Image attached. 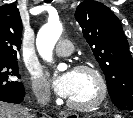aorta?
Instances as JSON below:
<instances>
[{"label":"aorta","mask_w":133,"mask_h":118,"mask_svg":"<svg viewBox=\"0 0 133 118\" xmlns=\"http://www.w3.org/2000/svg\"><path fill=\"white\" fill-rule=\"evenodd\" d=\"M62 34V26L59 22H49L38 32L36 46L39 54L48 62L52 61V52ZM65 65L60 64L57 69L64 70Z\"/></svg>","instance_id":"aorta-1"}]
</instances>
